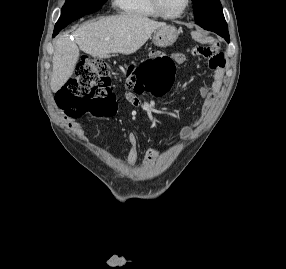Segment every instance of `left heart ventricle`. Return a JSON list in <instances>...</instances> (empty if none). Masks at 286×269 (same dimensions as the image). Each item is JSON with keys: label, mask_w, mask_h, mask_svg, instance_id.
I'll return each instance as SVG.
<instances>
[{"label": "left heart ventricle", "mask_w": 286, "mask_h": 269, "mask_svg": "<svg viewBox=\"0 0 286 269\" xmlns=\"http://www.w3.org/2000/svg\"><path fill=\"white\" fill-rule=\"evenodd\" d=\"M163 9L169 14L179 13L184 5L185 0H160Z\"/></svg>", "instance_id": "obj_1"}]
</instances>
